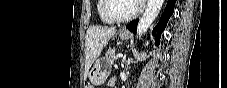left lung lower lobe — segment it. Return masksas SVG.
Wrapping results in <instances>:
<instances>
[{
  "instance_id": "obj_1",
  "label": "left lung lower lobe",
  "mask_w": 227,
  "mask_h": 88,
  "mask_svg": "<svg viewBox=\"0 0 227 88\" xmlns=\"http://www.w3.org/2000/svg\"><path fill=\"white\" fill-rule=\"evenodd\" d=\"M175 2H176V0H168L167 1L165 11L162 14L160 21L158 22L157 26L154 28L153 33H155L156 31H159L160 33H162V31L164 30V28L167 25V22H168L170 16L174 12ZM137 25H138V20L132 21L130 24L127 25V29L130 30L131 32H133L134 34H136ZM159 38H160V36L156 35V37H155V44L156 45H159V43H160Z\"/></svg>"
}]
</instances>
